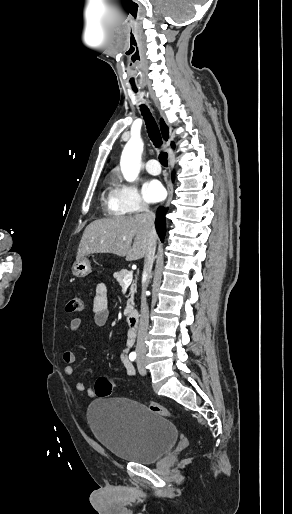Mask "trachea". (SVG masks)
I'll return each instance as SVG.
<instances>
[{"instance_id":"3493384b","label":"trachea","mask_w":292,"mask_h":514,"mask_svg":"<svg viewBox=\"0 0 292 514\" xmlns=\"http://www.w3.org/2000/svg\"><path fill=\"white\" fill-rule=\"evenodd\" d=\"M134 92L136 93L137 90L134 89ZM140 110L142 112L143 118L146 123V128L148 135L150 137V140L153 142L155 147L160 148L162 145V138L159 131V128L152 117V114L150 113L149 109L146 107V105H141ZM159 162L163 167H168V154L166 152L161 151L159 154Z\"/></svg>"}]
</instances>
